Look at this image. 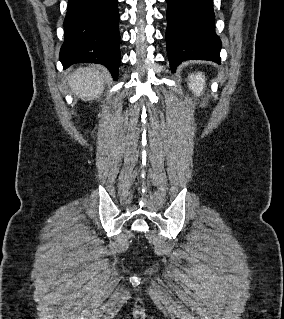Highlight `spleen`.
<instances>
[{
  "instance_id": "spleen-1",
  "label": "spleen",
  "mask_w": 284,
  "mask_h": 319,
  "mask_svg": "<svg viewBox=\"0 0 284 319\" xmlns=\"http://www.w3.org/2000/svg\"><path fill=\"white\" fill-rule=\"evenodd\" d=\"M189 80V88L199 96L203 91L205 85V77L202 73H197L196 75H191L188 77Z\"/></svg>"
}]
</instances>
